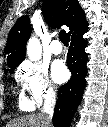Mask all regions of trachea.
Here are the masks:
<instances>
[{
  "instance_id": "trachea-1",
  "label": "trachea",
  "mask_w": 108,
  "mask_h": 127,
  "mask_svg": "<svg viewBox=\"0 0 108 127\" xmlns=\"http://www.w3.org/2000/svg\"><path fill=\"white\" fill-rule=\"evenodd\" d=\"M59 39L60 41L64 44L67 45L68 44V40H67V34L64 30H61L59 32Z\"/></svg>"
}]
</instances>
